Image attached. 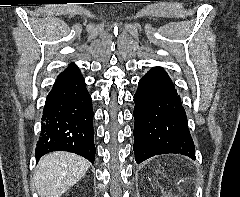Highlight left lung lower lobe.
Instances as JSON below:
<instances>
[{
  "label": "left lung lower lobe",
  "instance_id": "obj_1",
  "mask_svg": "<svg viewBox=\"0 0 240 197\" xmlns=\"http://www.w3.org/2000/svg\"><path fill=\"white\" fill-rule=\"evenodd\" d=\"M134 154L137 163L159 154L179 153L195 160L194 142L180 96L160 68L139 81L134 95Z\"/></svg>",
  "mask_w": 240,
  "mask_h": 197
}]
</instances>
